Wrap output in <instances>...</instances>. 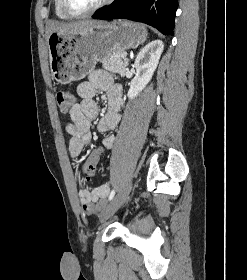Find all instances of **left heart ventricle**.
I'll return each instance as SVG.
<instances>
[{
    "instance_id": "b2bd125f",
    "label": "left heart ventricle",
    "mask_w": 247,
    "mask_h": 280,
    "mask_svg": "<svg viewBox=\"0 0 247 280\" xmlns=\"http://www.w3.org/2000/svg\"><path fill=\"white\" fill-rule=\"evenodd\" d=\"M102 0H69L70 7L75 11H84L97 5Z\"/></svg>"
}]
</instances>
